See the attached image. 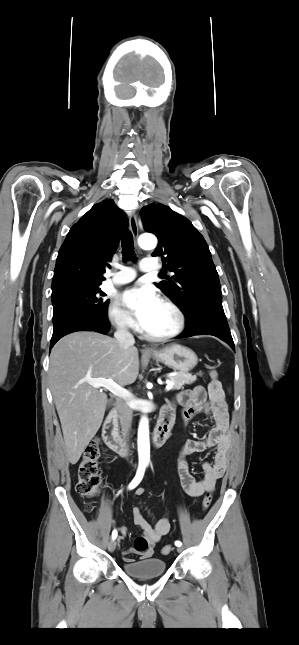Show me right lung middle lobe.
I'll return each instance as SVG.
<instances>
[{
	"instance_id": "dd1d6c3e",
	"label": "right lung middle lobe",
	"mask_w": 299,
	"mask_h": 645,
	"mask_svg": "<svg viewBox=\"0 0 299 645\" xmlns=\"http://www.w3.org/2000/svg\"><path fill=\"white\" fill-rule=\"evenodd\" d=\"M99 286L70 287L52 294L53 332L85 317L107 319L108 301Z\"/></svg>"
}]
</instances>
